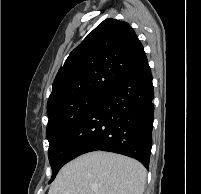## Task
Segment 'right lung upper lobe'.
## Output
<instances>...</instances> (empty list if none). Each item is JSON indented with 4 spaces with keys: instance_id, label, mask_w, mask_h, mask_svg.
<instances>
[{
    "instance_id": "cb5924a9",
    "label": "right lung upper lobe",
    "mask_w": 201,
    "mask_h": 194,
    "mask_svg": "<svg viewBox=\"0 0 201 194\" xmlns=\"http://www.w3.org/2000/svg\"><path fill=\"white\" fill-rule=\"evenodd\" d=\"M146 58L143 45L127 22L104 20L70 53L59 69L47 113L77 98L103 95Z\"/></svg>"
}]
</instances>
